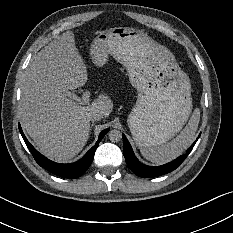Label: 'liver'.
I'll return each instance as SVG.
<instances>
[{
	"label": "liver",
	"mask_w": 233,
	"mask_h": 233,
	"mask_svg": "<svg viewBox=\"0 0 233 233\" xmlns=\"http://www.w3.org/2000/svg\"><path fill=\"white\" fill-rule=\"evenodd\" d=\"M87 68L74 33L66 31L33 56L24 73L20 122L38 150L50 159L75 157L89 138V114L99 110L106 118L113 111L114 103L106 93H100L87 106L65 95L87 83Z\"/></svg>",
	"instance_id": "liver-1"
}]
</instances>
